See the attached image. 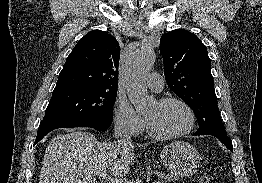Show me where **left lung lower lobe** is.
<instances>
[{"label": "left lung lower lobe", "instance_id": "0a47b994", "mask_svg": "<svg viewBox=\"0 0 262 183\" xmlns=\"http://www.w3.org/2000/svg\"><path fill=\"white\" fill-rule=\"evenodd\" d=\"M217 137L228 149L233 152V145L230 138L227 135H220V134H208Z\"/></svg>", "mask_w": 262, "mask_h": 183}]
</instances>
